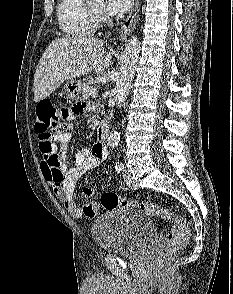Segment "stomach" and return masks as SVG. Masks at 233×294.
Masks as SVG:
<instances>
[{
  "instance_id": "stomach-1",
  "label": "stomach",
  "mask_w": 233,
  "mask_h": 294,
  "mask_svg": "<svg viewBox=\"0 0 233 294\" xmlns=\"http://www.w3.org/2000/svg\"><path fill=\"white\" fill-rule=\"evenodd\" d=\"M64 91L67 99L79 100L81 98L82 83L79 80L69 79L65 83Z\"/></svg>"
}]
</instances>
